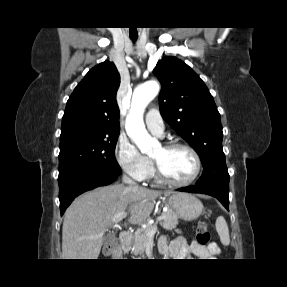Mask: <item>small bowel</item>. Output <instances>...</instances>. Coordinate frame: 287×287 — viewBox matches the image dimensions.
Wrapping results in <instances>:
<instances>
[{"mask_svg":"<svg viewBox=\"0 0 287 287\" xmlns=\"http://www.w3.org/2000/svg\"><path fill=\"white\" fill-rule=\"evenodd\" d=\"M159 250L164 257L169 259H184L191 256L207 259L218 253L219 247L215 242L210 243L208 246H202L197 241L188 243L184 237L178 236L169 244L166 238L162 237L159 240Z\"/></svg>","mask_w":287,"mask_h":287,"instance_id":"obj_1","label":"small bowel"}]
</instances>
